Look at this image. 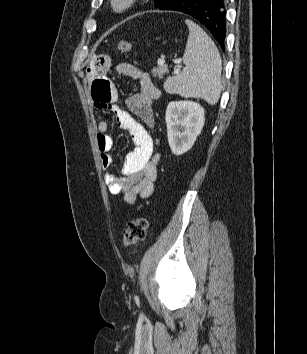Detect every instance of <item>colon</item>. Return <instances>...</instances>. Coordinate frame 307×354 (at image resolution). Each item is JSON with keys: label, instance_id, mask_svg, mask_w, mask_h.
<instances>
[{"label": "colon", "instance_id": "5ec220e1", "mask_svg": "<svg viewBox=\"0 0 307 354\" xmlns=\"http://www.w3.org/2000/svg\"><path fill=\"white\" fill-rule=\"evenodd\" d=\"M132 45L130 42L121 40L118 43V50L122 54H128L131 52ZM148 229V221L144 216H139L136 219L130 221L124 232H123V242L126 246H134L141 242L145 236Z\"/></svg>", "mask_w": 307, "mask_h": 354}]
</instances>
